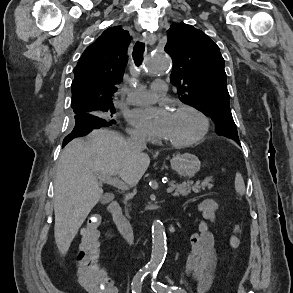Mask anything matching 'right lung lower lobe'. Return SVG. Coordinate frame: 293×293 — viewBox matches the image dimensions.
Masks as SVG:
<instances>
[{"label":"right lung lower lobe","mask_w":293,"mask_h":293,"mask_svg":"<svg viewBox=\"0 0 293 293\" xmlns=\"http://www.w3.org/2000/svg\"><path fill=\"white\" fill-rule=\"evenodd\" d=\"M74 118L75 126L72 132L64 138L62 147H64L72 139L86 135L93 129L108 127L111 124L116 123L114 120H107L102 117L86 113L76 114Z\"/></svg>","instance_id":"1"}]
</instances>
